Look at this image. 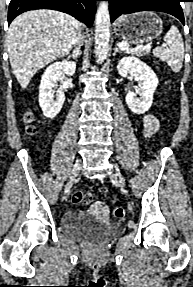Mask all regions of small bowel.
<instances>
[{"label":"small bowel","instance_id":"c3829d8e","mask_svg":"<svg viewBox=\"0 0 193 287\" xmlns=\"http://www.w3.org/2000/svg\"><path fill=\"white\" fill-rule=\"evenodd\" d=\"M162 116L159 113H150L142 116L143 129L150 135L158 128Z\"/></svg>","mask_w":193,"mask_h":287}]
</instances>
